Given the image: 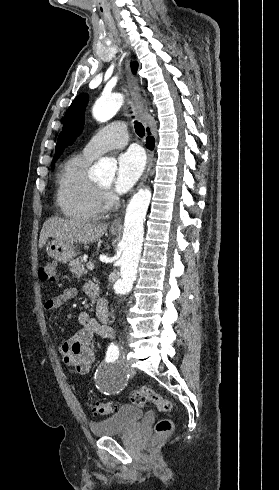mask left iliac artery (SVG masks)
Returning a JSON list of instances; mask_svg holds the SVG:
<instances>
[{"instance_id":"left-iliac-artery-1","label":"left iliac artery","mask_w":279,"mask_h":490,"mask_svg":"<svg viewBox=\"0 0 279 490\" xmlns=\"http://www.w3.org/2000/svg\"><path fill=\"white\" fill-rule=\"evenodd\" d=\"M119 356V350L118 347L115 346L113 343L108 347L107 351V359L109 360H116Z\"/></svg>"}]
</instances>
